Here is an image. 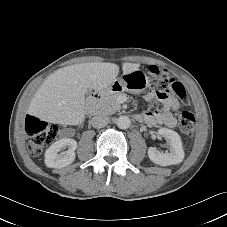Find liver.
I'll use <instances>...</instances> for the list:
<instances>
[{"label": "liver", "mask_w": 227, "mask_h": 227, "mask_svg": "<svg viewBox=\"0 0 227 227\" xmlns=\"http://www.w3.org/2000/svg\"><path fill=\"white\" fill-rule=\"evenodd\" d=\"M139 63H123V73L137 70ZM119 66L109 62L75 64L58 69L37 90L29 114L54 124L79 125L85 119L88 89L105 91L115 80Z\"/></svg>", "instance_id": "liver-1"}]
</instances>
